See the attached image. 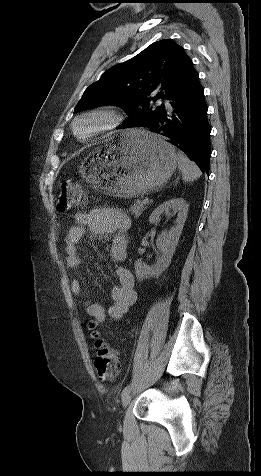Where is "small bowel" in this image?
I'll use <instances>...</instances> for the list:
<instances>
[{
  "label": "small bowel",
  "mask_w": 261,
  "mask_h": 476,
  "mask_svg": "<svg viewBox=\"0 0 261 476\" xmlns=\"http://www.w3.org/2000/svg\"><path fill=\"white\" fill-rule=\"evenodd\" d=\"M131 227L129 216L117 208H95L89 212L76 215V223L70 227L66 238V267L77 269L81 265L79 245L87 232L97 239L111 238L110 258L114 262H123L127 257V231ZM118 285L112 287V303L107 309L102 305L85 301L86 313L97 323L122 318L136 302L134 277L125 267L116 268ZM71 291L75 296L82 293V283L75 279L71 283Z\"/></svg>",
  "instance_id": "c3829d8e"
}]
</instances>
